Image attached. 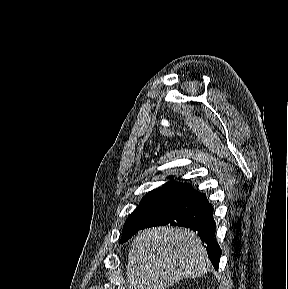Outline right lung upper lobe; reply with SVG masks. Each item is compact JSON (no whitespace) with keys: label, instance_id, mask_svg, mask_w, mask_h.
<instances>
[{"label":"right lung upper lobe","instance_id":"right-lung-upper-lobe-1","mask_svg":"<svg viewBox=\"0 0 288 289\" xmlns=\"http://www.w3.org/2000/svg\"><path fill=\"white\" fill-rule=\"evenodd\" d=\"M161 188H170V189H179V190L189 191L192 188V185L188 183H177L172 179V177H170V181L165 183Z\"/></svg>","mask_w":288,"mask_h":289}]
</instances>
